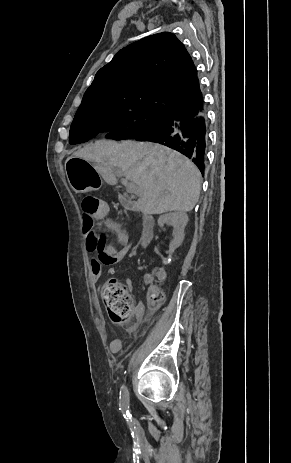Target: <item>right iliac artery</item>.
Returning <instances> with one entry per match:
<instances>
[{"label": "right iliac artery", "mask_w": 291, "mask_h": 463, "mask_svg": "<svg viewBox=\"0 0 291 463\" xmlns=\"http://www.w3.org/2000/svg\"><path fill=\"white\" fill-rule=\"evenodd\" d=\"M123 416L126 418L129 424H132L131 415L129 413V393L125 385H122L120 391V408Z\"/></svg>", "instance_id": "1"}]
</instances>
